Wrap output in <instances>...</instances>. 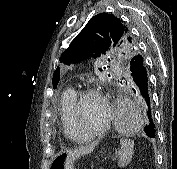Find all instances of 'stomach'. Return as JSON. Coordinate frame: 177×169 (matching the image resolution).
<instances>
[{
  "instance_id": "stomach-1",
  "label": "stomach",
  "mask_w": 177,
  "mask_h": 169,
  "mask_svg": "<svg viewBox=\"0 0 177 169\" xmlns=\"http://www.w3.org/2000/svg\"><path fill=\"white\" fill-rule=\"evenodd\" d=\"M50 169H67L66 156L64 154H57L50 164Z\"/></svg>"
}]
</instances>
